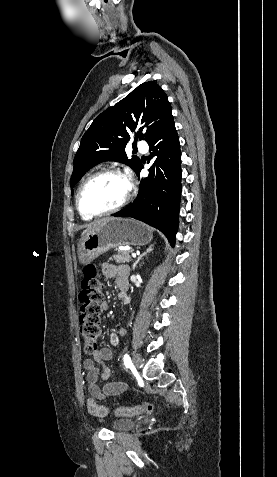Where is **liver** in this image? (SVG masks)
<instances>
[{
	"label": "liver",
	"instance_id": "obj_1",
	"mask_svg": "<svg viewBox=\"0 0 277 477\" xmlns=\"http://www.w3.org/2000/svg\"><path fill=\"white\" fill-rule=\"evenodd\" d=\"M98 223H99V222H97L96 224H98ZM96 224H94V226H95ZM94 226H93V227H94ZM86 231H87V230H86ZM86 231H85V232H86ZM85 232H84V233H85Z\"/></svg>",
	"mask_w": 277,
	"mask_h": 477
}]
</instances>
